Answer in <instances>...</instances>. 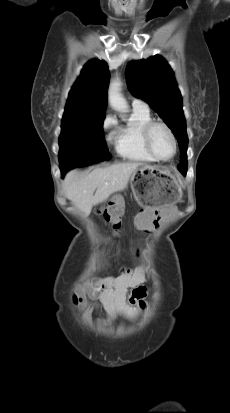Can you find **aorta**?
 <instances>
[{
  "label": "aorta",
  "instance_id": "obj_1",
  "mask_svg": "<svg viewBox=\"0 0 230 413\" xmlns=\"http://www.w3.org/2000/svg\"><path fill=\"white\" fill-rule=\"evenodd\" d=\"M121 83L118 80H114L109 87L108 99L111 107L121 113H125L128 110V104L121 94Z\"/></svg>",
  "mask_w": 230,
  "mask_h": 413
}]
</instances>
